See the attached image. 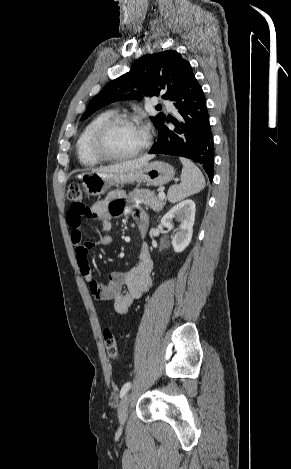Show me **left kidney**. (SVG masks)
Masks as SVG:
<instances>
[{
	"instance_id": "5707ae66",
	"label": "left kidney",
	"mask_w": 291,
	"mask_h": 469,
	"mask_svg": "<svg viewBox=\"0 0 291 469\" xmlns=\"http://www.w3.org/2000/svg\"><path fill=\"white\" fill-rule=\"evenodd\" d=\"M195 210L194 201L187 199L172 207L161 219V224L168 230L173 228V219L180 222L172 237V246L177 253L185 250L192 239Z\"/></svg>"
}]
</instances>
